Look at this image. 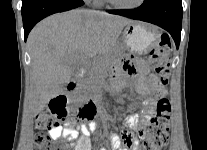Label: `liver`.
Segmentation results:
<instances>
[{
	"instance_id": "6515ba94",
	"label": "liver",
	"mask_w": 207,
	"mask_h": 150,
	"mask_svg": "<svg viewBox=\"0 0 207 150\" xmlns=\"http://www.w3.org/2000/svg\"><path fill=\"white\" fill-rule=\"evenodd\" d=\"M132 20L93 10H71L49 16L28 36L31 78L25 106L35 117L49 101L63 92L72 76L77 56L109 54L123 28Z\"/></svg>"
}]
</instances>
